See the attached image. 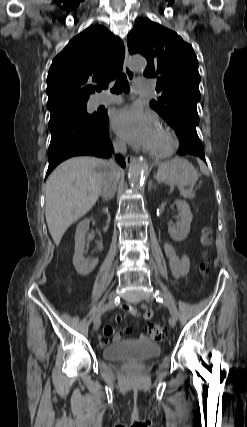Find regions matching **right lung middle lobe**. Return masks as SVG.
I'll return each mask as SVG.
<instances>
[{"label": "right lung middle lobe", "instance_id": "dd1d6c3e", "mask_svg": "<svg viewBox=\"0 0 247 427\" xmlns=\"http://www.w3.org/2000/svg\"><path fill=\"white\" fill-rule=\"evenodd\" d=\"M57 113H66V114L75 115L89 122H97L102 119L101 114L94 113L92 115H89L87 113V105L66 107Z\"/></svg>", "mask_w": 247, "mask_h": 427}]
</instances>
